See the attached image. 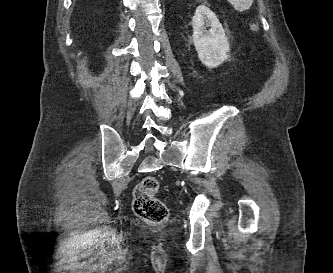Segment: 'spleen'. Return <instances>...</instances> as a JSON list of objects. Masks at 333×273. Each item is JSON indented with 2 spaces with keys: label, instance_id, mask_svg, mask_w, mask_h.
<instances>
[{
  "label": "spleen",
  "instance_id": "1",
  "mask_svg": "<svg viewBox=\"0 0 333 273\" xmlns=\"http://www.w3.org/2000/svg\"><path fill=\"white\" fill-rule=\"evenodd\" d=\"M227 1L231 3L237 11L242 12L249 9L254 0H227Z\"/></svg>",
  "mask_w": 333,
  "mask_h": 273
}]
</instances>
